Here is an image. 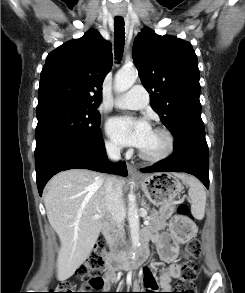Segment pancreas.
Segmentation results:
<instances>
[{"instance_id": "obj_1", "label": "pancreas", "mask_w": 245, "mask_h": 293, "mask_svg": "<svg viewBox=\"0 0 245 293\" xmlns=\"http://www.w3.org/2000/svg\"><path fill=\"white\" fill-rule=\"evenodd\" d=\"M147 219L150 221V224L148 228L153 230H162L165 229L167 226L166 219L162 218L159 215V212L156 210H151L149 216ZM121 238V235L114 231L112 235L107 237V242L109 244V248L111 250V254H114L117 250V246L119 245V240Z\"/></svg>"}]
</instances>
